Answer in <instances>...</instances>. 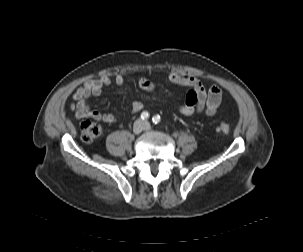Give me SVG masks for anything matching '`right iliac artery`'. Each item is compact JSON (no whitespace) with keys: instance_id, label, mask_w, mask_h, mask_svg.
I'll list each match as a JSON object with an SVG mask.
<instances>
[{"instance_id":"right-iliac-artery-1","label":"right iliac artery","mask_w":303,"mask_h":252,"mask_svg":"<svg viewBox=\"0 0 303 252\" xmlns=\"http://www.w3.org/2000/svg\"><path fill=\"white\" fill-rule=\"evenodd\" d=\"M149 118V113L144 111L141 113V119L142 120H147Z\"/></svg>"}]
</instances>
